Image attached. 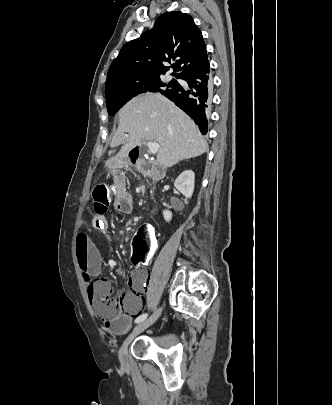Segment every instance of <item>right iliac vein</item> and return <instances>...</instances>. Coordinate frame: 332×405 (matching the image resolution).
<instances>
[{
    "instance_id": "right-iliac-vein-1",
    "label": "right iliac vein",
    "mask_w": 332,
    "mask_h": 405,
    "mask_svg": "<svg viewBox=\"0 0 332 405\" xmlns=\"http://www.w3.org/2000/svg\"><path fill=\"white\" fill-rule=\"evenodd\" d=\"M163 307L159 308L150 318L147 320L139 323L132 332L128 335V337L124 340L120 350H119V360L122 365H126L128 362V346L133 341V339L146 330L149 326H151L161 315Z\"/></svg>"
}]
</instances>
